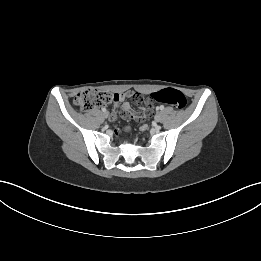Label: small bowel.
<instances>
[{"instance_id": "small-bowel-1", "label": "small bowel", "mask_w": 261, "mask_h": 261, "mask_svg": "<svg viewBox=\"0 0 261 261\" xmlns=\"http://www.w3.org/2000/svg\"><path fill=\"white\" fill-rule=\"evenodd\" d=\"M120 101L122 103V110L124 111L125 115L127 117L136 119V120H142L147 117V115L150 113L153 103L155 102V99L152 96H146L144 97L142 94L134 91H129L128 93L119 94ZM126 99H130L132 102H135L139 105L146 104V107L141 109L140 111H134L131 109L129 103Z\"/></svg>"}]
</instances>
